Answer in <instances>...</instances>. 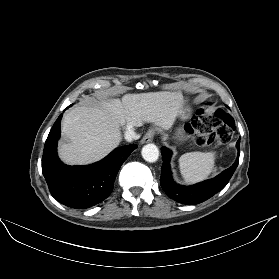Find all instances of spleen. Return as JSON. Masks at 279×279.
Returning a JSON list of instances; mask_svg holds the SVG:
<instances>
[{"mask_svg":"<svg viewBox=\"0 0 279 279\" xmlns=\"http://www.w3.org/2000/svg\"><path fill=\"white\" fill-rule=\"evenodd\" d=\"M215 152H189L179 158L181 174L186 182L196 183L208 178L215 165Z\"/></svg>","mask_w":279,"mask_h":279,"instance_id":"obj_1","label":"spleen"}]
</instances>
